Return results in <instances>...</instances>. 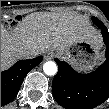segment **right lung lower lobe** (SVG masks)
<instances>
[{
  "label": "right lung lower lobe",
  "mask_w": 109,
  "mask_h": 109,
  "mask_svg": "<svg viewBox=\"0 0 109 109\" xmlns=\"http://www.w3.org/2000/svg\"><path fill=\"white\" fill-rule=\"evenodd\" d=\"M42 60L43 56L20 60L10 69L1 72V106L10 103L16 97L26 74Z\"/></svg>",
  "instance_id": "98d812e1"
}]
</instances>
